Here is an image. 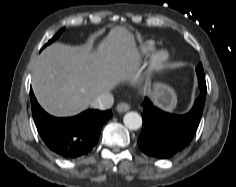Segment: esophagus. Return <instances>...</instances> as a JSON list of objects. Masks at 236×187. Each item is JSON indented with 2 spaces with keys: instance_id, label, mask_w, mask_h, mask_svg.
Here are the masks:
<instances>
[{
  "instance_id": "1",
  "label": "esophagus",
  "mask_w": 236,
  "mask_h": 187,
  "mask_svg": "<svg viewBox=\"0 0 236 187\" xmlns=\"http://www.w3.org/2000/svg\"><path fill=\"white\" fill-rule=\"evenodd\" d=\"M129 109H130V105L124 102H121L116 106V110L120 113L126 112Z\"/></svg>"
}]
</instances>
